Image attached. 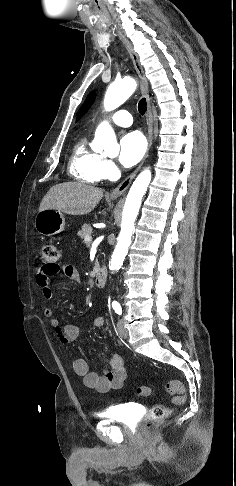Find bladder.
<instances>
[{
	"mask_svg": "<svg viewBox=\"0 0 236 486\" xmlns=\"http://www.w3.org/2000/svg\"><path fill=\"white\" fill-rule=\"evenodd\" d=\"M138 407L134 404H119L111 406L98 413L100 418L110 419L125 425H133L136 421Z\"/></svg>",
	"mask_w": 236,
	"mask_h": 486,
	"instance_id": "31cf9c89",
	"label": "bladder"
}]
</instances>
